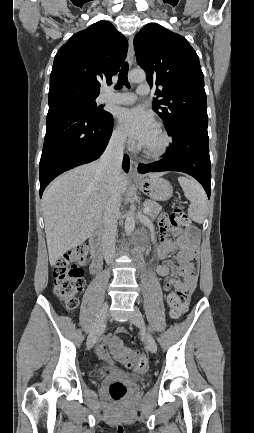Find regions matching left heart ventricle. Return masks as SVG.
<instances>
[{"instance_id":"obj_1","label":"left heart ventricle","mask_w":254,"mask_h":433,"mask_svg":"<svg viewBox=\"0 0 254 433\" xmlns=\"http://www.w3.org/2000/svg\"><path fill=\"white\" fill-rule=\"evenodd\" d=\"M162 144V138L156 128L152 131L150 136L146 139V141L142 144L144 147L149 149H156Z\"/></svg>"}]
</instances>
